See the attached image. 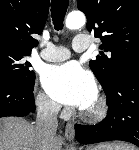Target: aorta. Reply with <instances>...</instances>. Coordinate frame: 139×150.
Here are the masks:
<instances>
[{
  "mask_svg": "<svg viewBox=\"0 0 139 150\" xmlns=\"http://www.w3.org/2000/svg\"><path fill=\"white\" fill-rule=\"evenodd\" d=\"M86 22L85 15L80 11H74L68 14L65 24L70 30L81 28Z\"/></svg>",
  "mask_w": 139,
  "mask_h": 150,
  "instance_id": "762f6f07",
  "label": "aorta"
}]
</instances>
